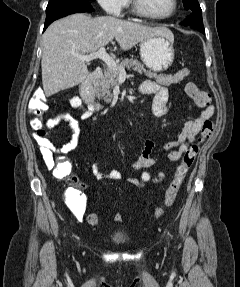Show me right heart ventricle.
I'll list each match as a JSON object with an SVG mask.
<instances>
[{
  "instance_id": "right-heart-ventricle-1",
  "label": "right heart ventricle",
  "mask_w": 240,
  "mask_h": 287,
  "mask_svg": "<svg viewBox=\"0 0 240 287\" xmlns=\"http://www.w3.org/2000/svg\"><path fill=\"white\" fill-rule=\"evenodd\" d=\"M129 4H130V0L127 1V5H129ZM127 5H126V6H127Z\"/></svg>"
}]
</instances>
